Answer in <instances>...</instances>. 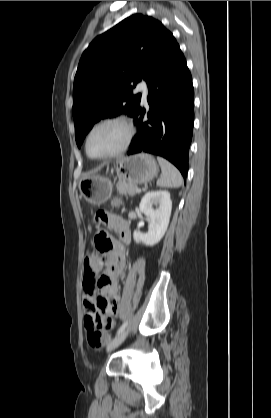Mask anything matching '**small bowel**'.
I'll return each mask as SVG.
<instances>
[{
  "label": "small bowel",
  "mask_w": 271,
  "mask_h": 418,
  "mask_svg": "<svg viewBox=\"0 0 271 418\" xmlns=\"http://www.w3.org/2000/svg\"><path fill=\"white\" fill-rule=\"evenodd\" d=\"M110 226L116 228L125 242L129 241V230L127 223L118 216H111L108 219ZM106 268L97 278V286L102 292L106 304L103 308H98L95 301L96 286L94 274L99 271L103 265ZM126 265V253L121 245L113 250L105 252L101 258L89 257L84 262L83 277V302L85 313L90 310H97L105 325L106 330H110L114 325V316L119 309L118 280Z\"/></svg>",
  "instance_id": "c3829d8e"
}]
</instances>
